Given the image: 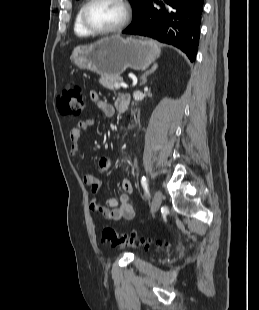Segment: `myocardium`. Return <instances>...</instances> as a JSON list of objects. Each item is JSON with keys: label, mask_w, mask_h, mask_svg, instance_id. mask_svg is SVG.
Listing matches in <instances>:
<instances>
[{"label": "myocardium", "mask_w": 259, "mask_h": 310, "mask_svg": "<svg viewBox=\"0 0 259 310\" xmlns=\"http://www.w3.org/2000/svg\"><path fill=\"white\" fill-rule=\"evenodd\" d=\"M95 1L96 0H88L83 5L82 10H81V23H82L83 27L91 35H110V34L118 33L127 27V25L130 22V19H131V7H130L127 0H116L122 6L123 11H124L123 19L118 25H116L112 28H108V29H99V28H96L93 25H91L88 18H87V12H88L89 7Z\"/></svg>", "instance_id": "myocardium-1"}]
</instances>
